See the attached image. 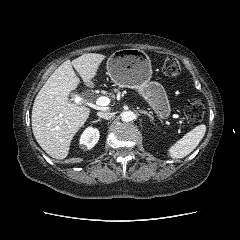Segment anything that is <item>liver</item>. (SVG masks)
<instances>
[{
	"mask_svg": "<svg viewBox=\"0 0 240 240\" xmlns=\"http://www.w3.org/2000/svg\"><path fill=\"white\" fill-rule=\"evenodd\" d=\"M105 57L87 53L73 61L66 60L38 92L32 108V130L36 141L49 156L65 159L74 135L90 115L89 108L68 100L70 92L80 84L73 67L83 82L88 83L97 75Z\"/></svg>",
	"mask_w": 240,
	"mask_h": 240,
	"instance_id": "obj_1",
	"label": "liver"
}]
</instances>
